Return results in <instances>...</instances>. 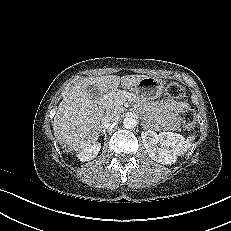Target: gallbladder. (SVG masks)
<instances>
[{
  "mask_svg": "<svg viewBox=\"0 0 231 231\" xmlns=\"http://www.w3.org/2000/svg\"><path fill=\"white\" fill-rule=\"evenodd\" d=\"M88 93L93 97V98H99L100 97V92L94 85H89L88 86Z\"/></svg>",
  "mask_w": 231,
  "mask_h": 231,
  "instance_id": "bac80fb5",
  "label": "gallbladder"
}]
</instances>
